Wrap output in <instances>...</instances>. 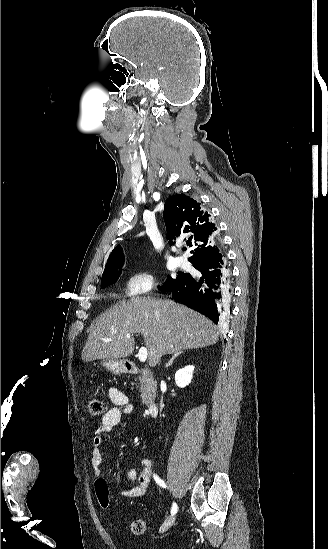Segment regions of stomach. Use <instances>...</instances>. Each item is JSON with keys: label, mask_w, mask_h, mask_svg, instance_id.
Segmentation results:
<instances>
[{"label": "stomach", "mask_w": 328, "mask_h": 549, "mask_svg": "<svg viewBox=\"0 0 328 549\" xmlns=\"http://www.w3.org/2000/svg\"><path fill=\"white\" fill-rule=\"evenodd\" d=\"M101 365L110 371L112 375H122V373H130L131 363L128 359H103Z\"/></svg>", "instance_id": "0dacf381"}]
</instances>
